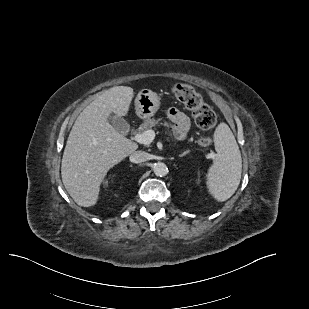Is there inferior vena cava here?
I'll return each mask as SVG.
<instances>
[{
	"mask_svg": "<svg viewBox=\"0 0 309 309\" xmlns=\"http://www.w3.org/2000/svg\"><path fill=\"white\" fill-rule=\"evenodd\" d=\"M130 160L133 163H142L149 160V154L145 151H134L130 155Z\"/></svg>",
	"mask_w": 309,
	"mask_h": 309,
	"instance_id": "1",
	"label": "inferior vena cava"
}]
</instances>
